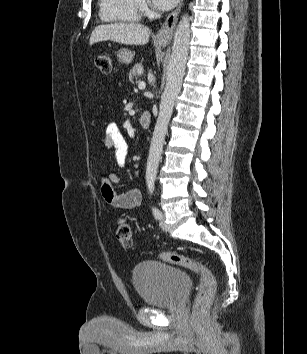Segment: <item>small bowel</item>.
Returning <instances> with one entry per match:
<instances>
[{"label":"small bowel","instance_id":"c3829d8e","mask_svg":"<svg viewBox=\"0 0 307 354\" xmlns=\"http://www.w3.org/2000/svg\"><path fill=\"white\" fill-rule=\"evenodd\" d=\"M104 145L113 151L116 162L123 166L129 153V144L119 126L116 123H108L105 128ZM120 182L119 176L109 172L101 180V192L104 200L112 207L123 210H133L142 205L141 192L137 189L126 193H117L113 185Z\"/></svg>","mask_w":307,"mask_h":354}]
</instances>
